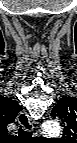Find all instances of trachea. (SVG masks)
<instances>
[{
  "label": "trachea",
  "instance_id": "trachea-1",
  "mask_svg": "<svg viewBox=\"0 0 77 143\" xmlns=\"http://www.w3.org/2000/svg\"><path fill=\"white\" fill-rule=\"evenodd\" d=\"M18 132H19L20 137H25V138H31L32 137V132L25 131L21 127L19 128Z\"/></svg>",
  "mask_w": 77,
  "mask_h": 143
}]
</instances>
